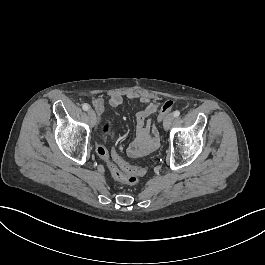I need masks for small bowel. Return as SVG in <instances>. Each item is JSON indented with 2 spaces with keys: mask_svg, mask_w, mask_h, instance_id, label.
Returning <instances> with one entry per match:
<instances>
[{
  "mask_svg": "<svg viewBox=\"0 0 265 265\" xmlns=\"http://www.w3.org/2000/svg\"><path fill=\"white\" fill-rule=\"evenodd\" d=\"M128 99H138L144 105V109L137 114V129L138 136L135 141L128 148V154L132 157H141L154 151L159 146L157 133L150 118L157 112L159 104L153 100L148 94L128 93ZM124 97L119 92H112L110 94L108 103L112 107H119L122 105ZM95 110L101 113L104 110L103 100L97 97L94 100ZM110 172L117 167L110 158L105 160Z\"/></svg>",
  "mask_w": 265,
  "mask_h": 265,
  "instance_id": "obj_1",
  "label": "small bowel"
}]
</instances>
